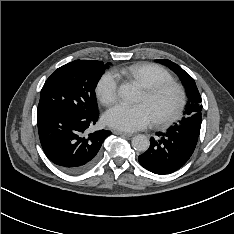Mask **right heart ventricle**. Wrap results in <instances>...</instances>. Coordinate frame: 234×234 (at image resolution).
I'll use <instances>...</instances> for the list:
<instances>
[{"label": "right heart ventricle", "instance_id": "right-heart-ventricle-1", "mask_svg": "<svg viewBox=\"0 0 234 234\" xmlns=\"http://www.w3.org/2000/svg\"><path fill=\"white\" fill-rule=\"evenodd\" d=\"M120 73L132 78L143 88L159 82L173 81L172 75L167 70L153 63L134 64L121 69Z\"/></svg>", "mask_w": 234, "mask_h": 234}]
</instances>
